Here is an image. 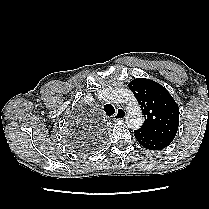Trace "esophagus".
<instances>
[{"label": "esophagus", "instance_id": "obj_1", "mask_svg": "<svg viewBox=\"0 0 209 209\" xmlns=\"http://www.w3.org/2000/svg\"><path fill=\"white\" fill-rule=\"evenodd\" d=\"M126 117V111L124 108L119 107L117 108L116 113L112 116L113 120H120V119H124Z\"/></svg>", "mask_w": 209, "mask_h": 209}]
</instances>
